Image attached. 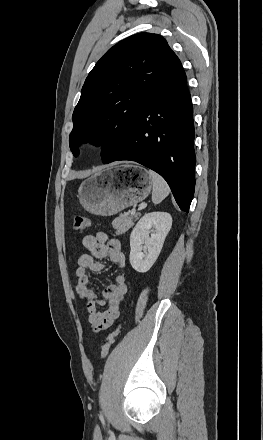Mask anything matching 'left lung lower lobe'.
<instances>
[{
	"label": "left lung lower lobe",
	"instance_id": "0a47b994",
	"mask_svg": "<svg viewBox=\"0 0 263 440\" xmlns=\"http://www.w3.org/2000/svg\"><path fill=\"white\" fill-rule=\"evenodd\" d=\"M194 135L187 78L174 55L134 122L129 146L110 162L131 160L154 170L188 212L195 189Z\"/></svg>",
	"mask_w": 263,
	"mask_h": 440
}]
</instances>
